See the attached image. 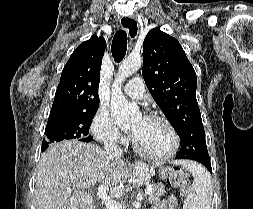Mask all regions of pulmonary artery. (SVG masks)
<instances>
[{
  "instance_id": "obj_1",
  "label": "pulmonary artery",
  "mask_w": 253,
  "mask_h": 209,
  "mask_svg": "<svg viewBox=\"0 0 253 209\" xmlns=\"http://www.w3.org/2000/svg\"><path fill=\"white\" fill-rule=\"evenodd\" d=\"M124 93L133 99H141L145 94L144 82L140 77H134L123 88Z\"/></svg>"
}]
</instances>
